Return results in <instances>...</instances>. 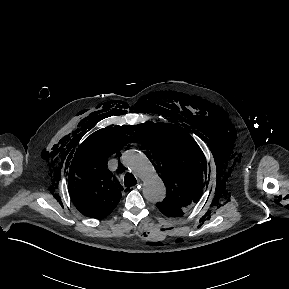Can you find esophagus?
I'll return each instance as SVG.
<instances>
[{"label": "esophagus", "instance_id": "esophagus-1", "mask_svg": "<svg viewBox=\"0 0 289 289\" xmlns=\"http://www.w3.org/2000/svg\"><path fill=\"white\" fill-rule=\"evenodd\" d=\"M141 187V183H139L138 185L132 187L133 189H139Z\"/></svg>", "mask_w": 289, "mask_h": 289}]
</instances>
